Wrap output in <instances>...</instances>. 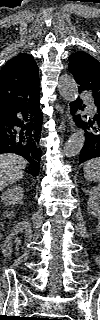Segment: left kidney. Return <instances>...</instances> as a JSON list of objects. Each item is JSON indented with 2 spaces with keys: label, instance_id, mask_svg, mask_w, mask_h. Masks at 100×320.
<instances>
[{
  "label": "left kidney",
  "instance_id": "1",
  "mask_svg": "<svg viewBox=\"0 0 100 320\" xmlns=\"http://www.w3.org/2000/svg\"><path fill=\"white\" fill-rule=\"evenodd\" d=\"M88 212L95 216H100V187L94 186L89 192V199L87 202Z\"/></svg>",
  "mask_w": 100,
  "mask_h": 320
}]
</instances>
